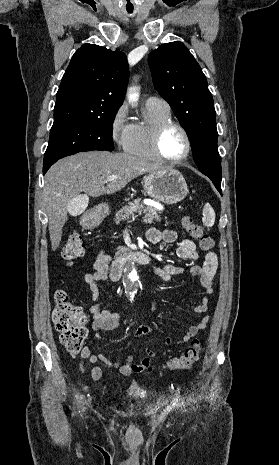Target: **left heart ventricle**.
<instances>
[{
	"instance_id": "left-heart-ventricle-1",
	"label": "left heart ventricle",
	"mask_w": 279,
	"mask_h": 465,
	"mask_svg": "<svg viewBox=\"0 0 279 465\" xmlns=\"http://www.w3.org/2000/svg\"><path fill=\"white\" fill-rule=\"evenodd\" d=\"M162 151L168 158L181 157L186 149L185 139L177 128H169L163 135Z\"/></svg>"
}]
</instances>
